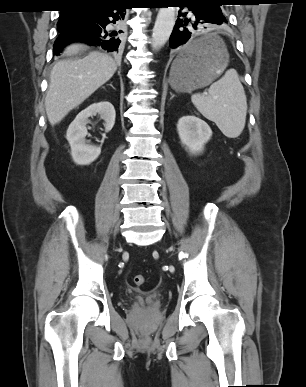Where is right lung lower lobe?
I'll list each match as a JSON object with an SVG mask.
<instances>
[{
	"instance_id": "obj_1",
	"label": "right lung lower lobe",
	"mask_w": 306,
	"mask_h": 387,
	"mask_svg": "<svg viewBox=\"0 0 306 387\" xmlns=\"http://www.w3.org/2000/svg\"><path fill=\"white\" fill-rule=\"evenodd\" d=\"M126 5L113 1L102 6L81 8L82 20L66 29L58 30L53 53L58 55L70 42L80 41L100 46L108 52H118L121 48L120 21L124 19Z\"/></svg>"
}]
</instances>
